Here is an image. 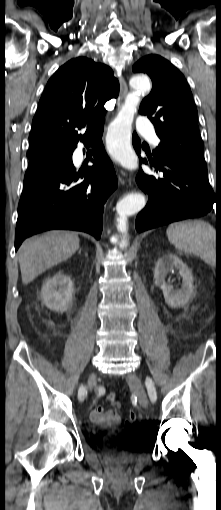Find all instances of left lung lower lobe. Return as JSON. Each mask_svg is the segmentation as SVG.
I'll return each mask as SVG.
<instances>
[{"label":"left lung lower lobe","instance_id":"left-lung-lower-lobe-1","mask_svg":"<svg viewBox=\"0 0 221 510\" xmlns=\"http://www.w3.org/2000/svg\"><path fill=\"white\" fill-rule=\"evenodd\" d=\"M133 146L139 155L140 162L147 164L140 157V140L136 134L132 137ZM150 165L163 177L148 175L140 170L136 182L144 192L148 193L146 207L136 217L135 227L143 232L171 222L201 217L218 204L217 195L209 184L206 172L199 171L185 164L149 158ZM215 207V206H214ZM217 232L219 249H221V209L218 210Z\"/></svg>","mask_w":221,"mask_h":510}]
</instances>
